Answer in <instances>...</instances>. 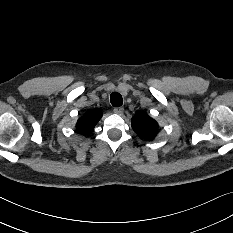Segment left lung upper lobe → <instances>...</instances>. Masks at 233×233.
<instances>
[{"label": "left lung upper lobe", "mask_w": 233, "mask_h": 233, "mask_svg": "<svg viewBox=\"0 0 233 233\" xmlns=\"http://www.w3.org/2000/svg\"><path fill=\"white\" fill-rule=\"evenodd\" d=\"M133 130L147 141L153 140L158 132V124L147 114L139 112L131 120Z\"/></svg>", "instance_id": "obj_1"}]
</instances>
